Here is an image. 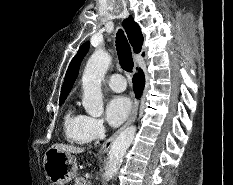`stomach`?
Segmentation results:
<instances>
[{
	"label": "stomach",
	"mask_w": 233,
	"mask_h": 185,
	"mask_svg": "<svg viewBox=\"0 0 233 185\" xmlns=\"http://www.w3.org/2000/svg\"><path fill=\"white\" fill-rule=\"evenodd\" d=\"M43 167L51 185H65L77 175L76 158L54 147L46 151Z\"/></svg>",
	"instance_id": "1"
}]
</instances>
